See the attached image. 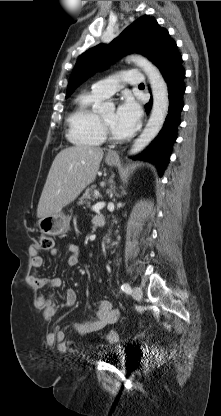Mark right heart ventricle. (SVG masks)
<instances>
[{"instance_id":"obj_1","label":"right heart ventricle","mask_w":221,"mask_h":416,"mask_svg":"<svg viewBox=\"0 0 221 416\" xmlns=\"http://www.w3.org/2000/svg\"><path fill=\"white\" fill-rule=\"evenodd\" d=\"M103 97L95 92L81 93L77 99L72 112L68 117V138L77 145L98 146L105 141L99 115L94 106Z\"/></svg>"}]
</instances>
